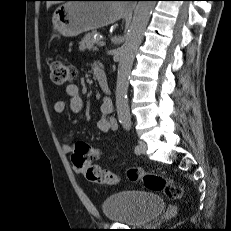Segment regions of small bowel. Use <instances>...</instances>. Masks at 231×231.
Instances as JSON below:
<instances>
[{
    "instance_id": "1",
    "label": "small bowel",
    "mask_w": 231,
    "mask_h": 231,
    "mask_svg": "<svg viewBox=\"0 0 231 231\" xmlns=\"http://www.w3.org/2000/svg\"><path fill=\"white\" fill-rule=\"evenodd\" d=\"M65 94L69 99L70 109L73 113H80L83 108V100L79 92V87L76 84H70L65 88ZM66 110V103L63 100H57L54 103V111L58 114L64 113ZM102 114L101 119L97 122V128L101 132H109L118 130L117 120L111 116L113 111V104L110 98L104 97L100 106ZM62 149L65 153L69 154L72 151V143L68 137H65L62 143ZM78 173L83 170L76 168Z\"/></svg>"
}]
</instances>
